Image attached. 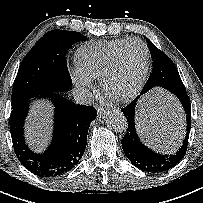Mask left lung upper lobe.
<instances>
[{"instance_id":"5c2ea615","label":"left lung upper lobe","mask_w":203,"mask_h":203,"mask_svg":"<svg viewBox=\"0 0 203 203\" xmlns=\"http://www.w3.org/2000/svg\"><path fill=\"white\" fill-rule=\"evenodd\" d=\"M147 42L153 59V69L143 90L147 92L153 87L159 86L170 92H175L176 90L186 92L179 72L172 60L164 52L159 50L149 39H147Z\"/></svg>"}]
</instances>
